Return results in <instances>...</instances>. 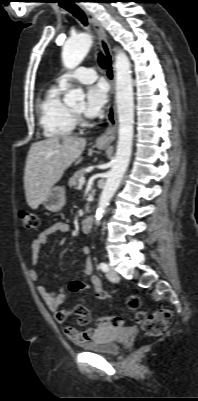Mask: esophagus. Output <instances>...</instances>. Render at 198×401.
<instances>
[{
  "instance_id": "1",
  "label": "esophagus",
  "mask_w": 198,
  "mask_h": 401,
  "mask_svg": "<svg viewBox=\"0 0 198 401\" xmlns=\"http://www.w3.org/2000/svg\"><path fill=\"white\" fill-rule=\"evenodd\" d=\"M81 9L87 15L89 21L91 22L94 30L96 31L101 50L107 59L108 67H107V79L111 85L110 95H109V103L107 106L106 112V122L107 128L106 130L96 139L97 145H108L110 144L116 135V127H117V119H116V105H115V70H114V61L111 47L109 45L107 34L101 25V23L96 19L94 14L90 12L85 6L79 3Z\"/></svg>"
}]
</instances>
